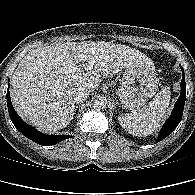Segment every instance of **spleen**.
I'll use <instances>...</instances> for the list:
<instances>
[{
    "label": "spleen",
    "mask_w": 195,
    "mask_h": 195,
    "mask_svg": "<svg viewBox=\"0 0 195 195\" xmlns=\"http://www.w3.org/2000/svg\"><path fill=\"white\" fill-rule=\"evenodd\" d=\"M170 98V88H162L153 100L138 112L119 115L120 125L130 134L138 137L151 135L166 117Z\"/></svg>",
    "instance_id": "spleen-1"
}]
</instances>
